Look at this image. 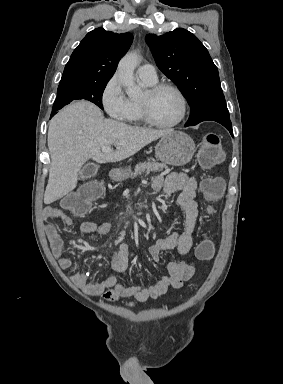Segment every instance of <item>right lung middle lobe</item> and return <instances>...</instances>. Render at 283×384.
<instances>
[{"label": "right lung middle lobe", "instance_id": "dd1d6c3e", "mask_svg": "<svg viewBox=\"0 0 283 384\" xmlns=\"http://www.w3.org/2000/svg\"><path fill=\"white\" fill-rule=\"evenodd\" d=\"M106 84L107 82L59 86L53 109L59 110L71 101L79 99L88 100L103 109L102 94Z\"/></svg>", "mask_w": 283, "mask_h": 384}]
</instances>
